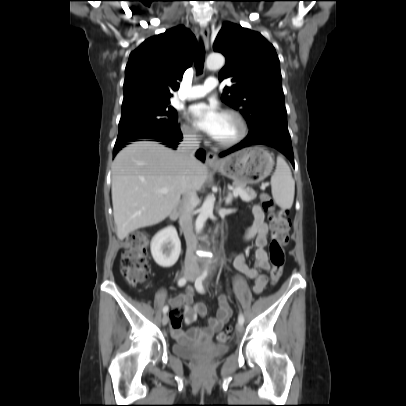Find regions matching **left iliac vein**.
Wrapping results in <instances>:
<instances>
[{"instance_id":"left-iliac-vein-1","label":"left iliac vein","mask_w":406,"mask_h":406,"mask_svg":"<svg viewBox=\"0 0 406 406\" xmlns=\"http://www.w3.org/2000/svg\"><path fill=\"white\" fill-rule=\"evenodd\" d=\"M197 276H198V274L193 275V276L190 278V280H191V281H195V279L197 278ZM236 331H237V332H242V331H243V324L238 323V324L236 325Z\"/></svg>"}]
</instances>
